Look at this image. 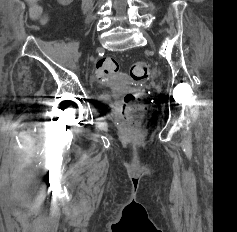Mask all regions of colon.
<instances>
[{
    "label": "colon",
    "instance_id": "1",
    "mask_svg": "<svg viewBox=\"0 0 237 232\" xmlns=\"http://www.w3.org/2000/svg\"><path fill=\"white\" fill-rule=\"evenodd\" d=\"M39 0H26L30 5V15L34 20L44 21L42 9L38 4ZM150 70V64L146 61L135 62L130 69V76L133 80L145 79ZM119 65L113 58H101L96 64V72L100 77L118 73ZM145 112V106L140 94L128 93L124 98V123L130 128H137L141 125Z\"/></svg>",
    "mask_w": 237,
    "mask_h": 232
}]
</instances>
